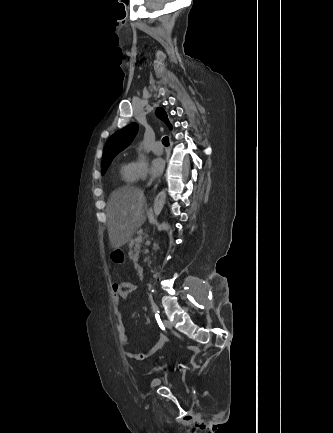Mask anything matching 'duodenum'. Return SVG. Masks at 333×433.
<instances>
[{
  "label": "duodenum",
  "mask_w": 333,
  "mask_h": 433,
  "mask_svg": "<svg viewBox=\"0 0 333 433\" xmlns=\"http://www.w3.org/2000/svg\"><path fill=\"white\" fill-rule=\"evenodd\" d=\"M134 241H135V238L131 237L130 238V242H129V248L130 249L134 248ZM134 266L137 268L139 265L136 263ZM137 272H138V276H139L140 279H144L145 278L146 273H145V269L143 267H138Z\"/></svg>",
  "instance_id": "1"
}]
</instances>
